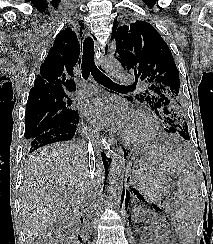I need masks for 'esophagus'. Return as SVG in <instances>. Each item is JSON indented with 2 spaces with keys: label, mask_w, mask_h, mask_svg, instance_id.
I'll list each match as a JSON object with an SVG mask.
<instances>
[{
  "label": "esophagus",
  "mask_w": 213,
  "mask_h": 244,
  "mask_svg": "<svg viewBox=\"0 0 213 244\" xmlns=\"http://www.w3.org/2000/svg\"><path fill=\"white\" fill-rule=\"evenodd\" d=\"M104 60H105L104 52H102L100 55H98L96 57V64L99 67V69H101V70H104V65H103ZM102 142H103V145L105 146V148L110 153V155H112L113 152L115 151V149L118 148V143L113 136H109V137L102 139Z\"/></svg>",
  "instance_id": "obj_1"
}]
</instances>
